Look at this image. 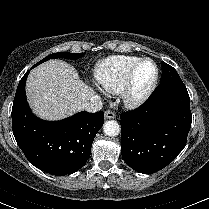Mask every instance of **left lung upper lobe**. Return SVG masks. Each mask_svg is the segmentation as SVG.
I'll return each instance as SVG.
<instances>
[{
	"mask_svg": "<svg viewBox=\"0 0 209 209\" xmlns=\"http://www.w3.org/2000/svg\"><path fill=\"white\" fill-rule=\"evenodd\" d=\"M161 66H162V75L160 79L161 83L170 80H181L180 76L172 66L168 65L163 61L161 63Z\"/></svg>",
	"mask_w": 209,
	"mask_h": 209,
	"instance_id": "5c2ea615",
	"label": "left lung upper lobe"
}]
</instances>
